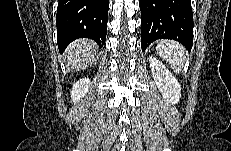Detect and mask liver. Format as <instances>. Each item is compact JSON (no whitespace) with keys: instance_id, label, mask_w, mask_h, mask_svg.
<instances>
[{"instance_id":"liver-1","label":"liver","mask_w":231,"mask_h":151,"mask_svg":"<svg viewBox=\"0 0 231 151\" xmlns=\"http://www.w3.org/2000/svg\"><path fill=\"white\" fill-rule=\"evenodd\" d=\"M97 45L92 40L80 39L71 44L66 51V68L68 71L79 70L94 60Z\"/></svg>"}]
</instances>
